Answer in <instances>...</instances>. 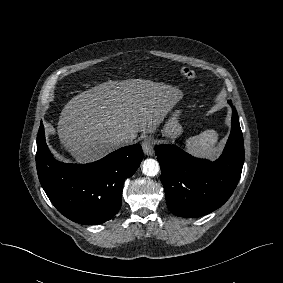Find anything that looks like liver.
Masks as SVG:
<instances>
[{
  "instance_id": "obj_1",
  "label": "liver",
  "mask_w": 283,
  "mask_h": 283,
  "mask_svg": "<svg viewBox=\"0 0 283 283\" xmlns=\"http://www.w3.org/2000/svg\"><path fill=\"white\" fill-rule=\"evenodd\" d=\"M182 97L178 88L150 80H109L64 106L57 134L77 163L92 162L119 147L118 135L133 141L138 132L152 133Z\"/></svg>"
}]
</instances>
